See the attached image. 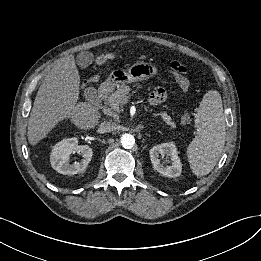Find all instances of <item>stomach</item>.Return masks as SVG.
<instances>
[{"label":"stomach","instance_id":"1","mask_svg":"<svg viewBox=\"0 0 261 261\" xmlns=\"http://www.w3.org/2000/svg\"><path fill=\"white\" fill-rule=\"evenodd\" d=\"M156 66L145 63L138 62L133 64L127 70H117L112 74L111 79L120 85H125L128 83H134L138 81L148 80L157 74Z\"/></svg>","mask_w":261,"mask_h":261}]
</instances>
